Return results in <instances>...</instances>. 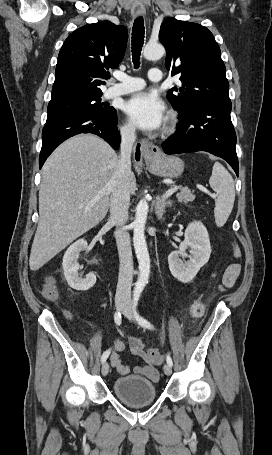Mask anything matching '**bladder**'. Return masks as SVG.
I'll return each instance as SVG.
<instances>
[{"instance_id":"bladder-1","label":"bladder","mask_w":272,"mask_h":455,"mask_svg":"<svg viewBox=\"0 0 272 455\" xmlns=\"http://www.w3.org/2000/svg\"><path fill=\"white\" fill-rule=\"evenodd\" d=\"M115 396L128 406L149 405L156 400V386L150 380L138 375H126L115 380Z\"/></svg>"}]
</instances>
